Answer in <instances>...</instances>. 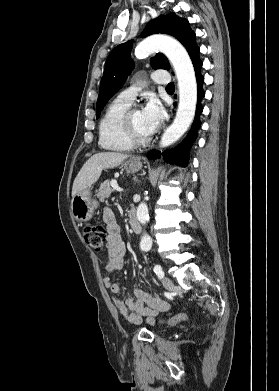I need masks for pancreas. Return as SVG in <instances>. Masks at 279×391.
<instances>
[{"mask_svg":"<svg viewBox=\"0 0 279 391\" xmlns=\"http://www.w3.org/2000/svg\"><path fill=\"white\" fill-rule=\"evenodd\" d=\"M111 182L109 180H106L103 182L99 188L98 197L101 200H104L106 198H109L111 194L114 192V189L110 187Z\"/></svg>","mask_w":279,"mask_h":391,"instance_id":"1","label":"pancreas"}]
</instances>
